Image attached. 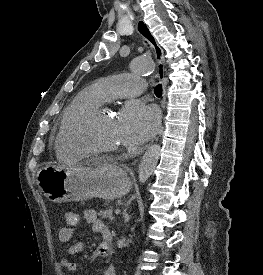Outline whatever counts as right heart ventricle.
Returning <instances> with one entry per match:
<instances>
[{"label":"right heart ventricle","mask_w":263,"mask_h":275,"mask_svg":"<svg viewBox=\"0 0 263 275\" xmlns=\"http://www.w3.org/2000/svg\"><path fill=\"white\" fill-rule=\"evenodd\" d=\"M105 102L98 84L82 90L66 108L57 139V151L66 158L79 159L83 153L76 149L68 140L67 134L75 122L87 111Z\"/></svg>","instance_id":"right-heart-ventricle-1"}]
</instances>
